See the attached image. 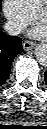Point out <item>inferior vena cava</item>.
I'll use <instances>...</instances> for the list:
<instances>
[{"label":"inferior vena cava","instance_id":"obj_1","mask_svg":"<svg viewBox=\"0 0 47 129\" xmlns=\"http://www.w3.org/2000/svg\"><path fill=\"white\" fill-rule=\"evenodd\" d=\"M4 30L9 35H18L24 31V26L19 22L9 20L5 23Z\"/></svg>","mask_w":47,"mask_h":129}]
</instances>
